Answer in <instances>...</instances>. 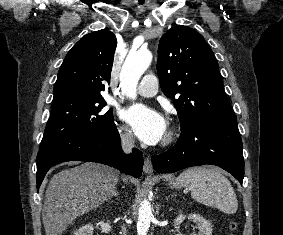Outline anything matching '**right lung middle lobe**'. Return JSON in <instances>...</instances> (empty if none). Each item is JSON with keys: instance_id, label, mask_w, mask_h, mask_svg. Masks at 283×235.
<instances>
[{"instance_id": "dd1d6c3e", "label": "right lung middle lobe", "mask_w": 283, "mask_h": 235, "mask_svg": "<svg viewBox=\"0 0 283 235\" xmlns=\"http://www.w3.org/2000/svg\"><path fill=\"white\" fill-rule=\"evenodd\" d=\"M102 96L71 97L51 106L40 150L78 135H92L115 125L113 111L105 112Z\"/></svg>"}]
</instances>
